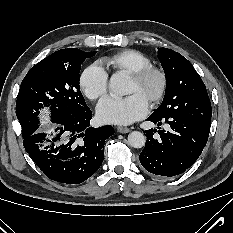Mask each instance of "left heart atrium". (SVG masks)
Masks as SVG:
<instances>
[{"mask_svg":"<svg viewBox=\"0 0 233 233\" xmlns=\"http://www.w3.org/2000/svg\"><path fill=\"white\" fill-rule=\"evenodd\" d=\"M148 103L138 94L126 97H104L97 105L96 113L101 122L127 125L144 117Z\"/></svg>","mask_w":233,"mask_h":233,"instance_id":"obj_1","label":"left heart atrium"}]
</instances>
